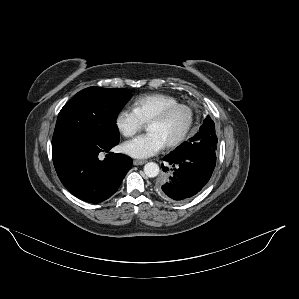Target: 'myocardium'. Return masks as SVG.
Instances as JSON below:
<instances>
[{
	"label": "myocardium",
	"mask_w": 299,
	"mask_h": 299,
	"mask_svg": "<svg viewBox=\"0 0 299 299\" xmlns=\"http://www.w3.org/2000/svg\"><path fill=\"white\" fill-rule=\"evenodd\" d=\"M180 109H184L188 112L189 114V119L188 122L186 124V126L184 127V129L180 132V134L173 140H171L170 142L166 143L165 146L167 148H174L178 145H180L189 135L193 125H194V121H195V110L194 108L187 103H177L171 106H168L164 109H162L160 112H158L155 116H153L147 124L150 123H160L165 121L171 114H173L174 112L180 110Z\"/></svg>",
	"instance_id": "obj_1"
}]
</instances>
